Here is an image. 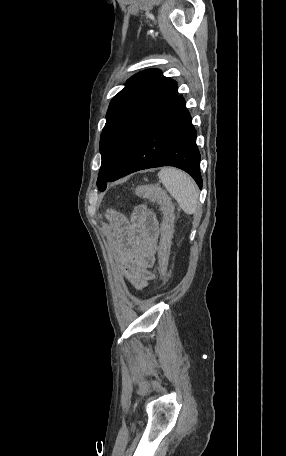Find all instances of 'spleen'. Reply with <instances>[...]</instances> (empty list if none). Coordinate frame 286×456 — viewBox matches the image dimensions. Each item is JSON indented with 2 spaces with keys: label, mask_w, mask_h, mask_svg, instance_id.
Instances as JSON below:
<instances>
[{
  "label": "spleen",
  "mask_w": 286,
  "mask_h": 456,
  "mask_svg": "<svg viewBox=\"0 0 286 456\" xmlns=\"http://www.w3.org/2000/svg\"><path fill=\"white\" fill-rule=\"evenodd\" d=\"M158 177L185 213H196L198 209L197 185L187 173L175 168H163L159 171Z\"/></svg>",
  "instance_id": "1"
}]
</instances>
